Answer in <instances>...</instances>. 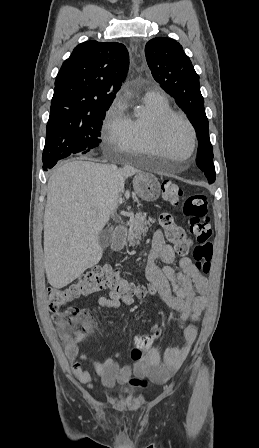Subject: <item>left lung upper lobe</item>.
Returning a JSON list of instances; mask_svg holds the SVG:
<instances>
[{"mask_svg":"<svg viewBox=\"0 0 259 448\" xmlns=\"http://www.w3.org/2000/svg\"><path fill=\"white\" fill-rule=\"evenodd\" d=\"M145 56L154 79L175 99L196 130L197 161L213 158L199 76L182 46L173 39L157 37L147 42Z\"/></svg>","mask_w":259,"mask_h":448,"instance_id":"left-lung-upper-lobe-1","label":"left lung upper lobe"}]
</instances>
